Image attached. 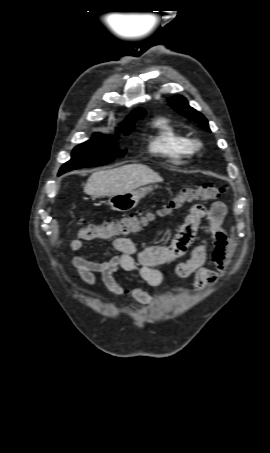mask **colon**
Instances as JSON below:
<instances>
[{"mask_svg": "<svg viewBox=\"0 0 270 453\" xmlns=\"http://www.w3.org/2000/svg\"><path fill=\"white\" fill-rule=\"evenodd\" d=\"M223 192L222 187L213 184L183 187L162 206L160 214H168L193 201L216 200ZM152 217L153 215L150 213L128 214L120 219L102 224L83 225L79 234L85 238L100 237L103 239L129 235L139 231Z\"/></svg>", "mask_w": 270, "mask_h": 453, "instance_id": "1", "label": "colon"}]
</instances>
